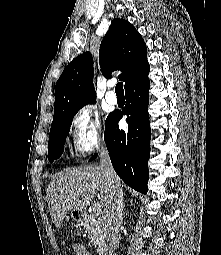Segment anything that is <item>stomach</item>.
Returning a JSON list of instances; mask_svg holds the SVG:
<instances>
[{"instance_id": "obj_1", "label": "stomach", "mask_w": 221, "mask_h": 255, "mask_svg": "<svg viewBox=\"0 0 221 255\" xmlns=\"http://www.w3.org/2000/svg\"><path fill=\"white\" fill-rule=\"evenodd\" d=\"M72 217H73L76 221H80V220H81V215L79 214L78 211H73V212H72Z\"/></svg>"}]
</instances>
